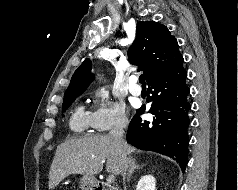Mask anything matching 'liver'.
I'll return each instance as SVG.
<instances>
[{
  "instance_id": "1",
  "label": "liver",
  "mask_w": 238,
  "mask_h": 190,
  "mask_svg": "<svg viewBox=\"0 0 238 190\" xmlns=\"http://www.w3.org/2000/svg\"><path fill=\"white\" fill-rule=\"evenodd\" d=\"M134 148L124 144V152L129 155ZM114 175L121 173L120 152L110 135L67 139L55 152L49 172V189H54L71 174L94 177L103 169Z\"/></svg>"
}]
</instances>
